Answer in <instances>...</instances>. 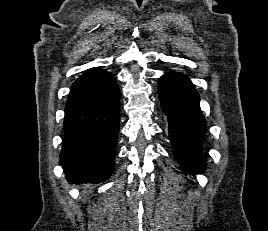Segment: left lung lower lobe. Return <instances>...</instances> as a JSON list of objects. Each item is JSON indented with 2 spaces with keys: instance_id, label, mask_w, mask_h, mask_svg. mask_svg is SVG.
<instances>
[{
  "instance_id": "left-lung-lower-lobe-1",
  "label": "left lung lower lobe",
  "mask_w": 268,
  "mask_h": 231,
  "mask_svg": "<svg viewBox=\"0 0 268 231\" xmlns=\"http://www.w3.org/2000/svg\"><path fill=\"white\" fill-rule=\"evenodd\" d=\"M162 109L169 121L173 151L183 161L184 171H199L203 156V140L207 130L200 108V96L187 76L169 73L158 86Z\"/></svg>"
}]
</instances>
